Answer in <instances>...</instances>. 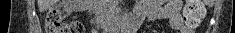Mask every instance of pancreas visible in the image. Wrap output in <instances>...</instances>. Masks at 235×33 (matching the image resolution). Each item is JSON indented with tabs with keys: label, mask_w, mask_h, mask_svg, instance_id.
I'll return each instance as SVG.
<instances>
[{
	"label": "pancreas",
	"mask_w": 235,
	"mask_h": 33,
	"mask_svg": "<svg viewBox=\"0 0 235 33\" xmlns=\"http://www.w3.org/2000/svg\"><path fill=\"white\" fill-rule=\"evenodd\" d=\"M105 2V0H101V3Z\"/></svg>",
	"instance_id": "pancreas-1"
}]
</instances>
